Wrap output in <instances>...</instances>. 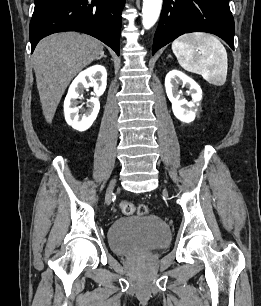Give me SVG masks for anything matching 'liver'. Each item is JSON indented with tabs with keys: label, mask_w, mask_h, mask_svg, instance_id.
<instances>
[{
	"label": "liver",
	"mask_w": 261,
	"mask_h": 306,
	"mask_svg": "<svg viewBox=\"0 0 261 306\" xmlns=\"http://www.w3.org/2000/svg\"><path fill=\"white\" fill-rule=\"evenodd\" d=\"M102 53L100 41L77 32L56 33L38 43L33 65L43 114L48 123L52 122L70 81Z\"/></svg>",
	"instance_id": "1"
}]
</instances>
